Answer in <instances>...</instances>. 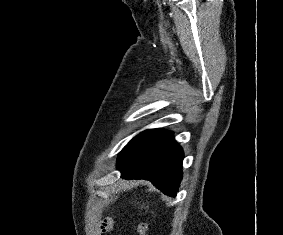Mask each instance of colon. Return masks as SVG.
Masks as SVG:
<instances>
[{
  "label": "colon",
  "mask_w": 283,
  "mask_h": 235,
  "mask_svg": "<svg viewBox=\"0 0 283 235\" xmlns=\"http://www.w3.org/2000/svg\"><path fill=\"white\" fill-rule=\"evenodd\" d=\"M148 225L145 222H142L138 225L137 232L139 235H146Z\"/></svg>",
  "instance_id": "5ec220e1"
}]
</instances>
